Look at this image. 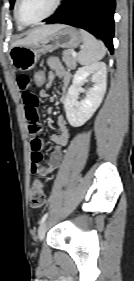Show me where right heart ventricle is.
<instances>
[{
	"mask_svg": "<svg viewBox=\"0 0 134 281\" xmlns=\"http://www.w3.org/2000/svg\"><path fill=\"white\" fill-rule=\"evenodd\" d=\"M18 28H19V29H22V28H23V26H21V25L18 23Z\"/></svg>",
	"mask_w": 134,
	"mask_h": 281,
	"instance_id": "1",
	"label": "right heart ventricle"
}]
</instances>
